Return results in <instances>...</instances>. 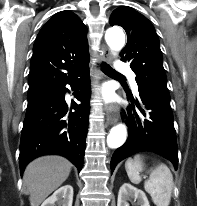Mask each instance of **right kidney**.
<instances>
[{"label": "right kidney", "mask_w": 197, "mask_h": 206, "mask_svg": "<svg viewBox=\"0 0 197 206\" xmlns=\"http://www.w3.org/2000/svg\"><path fill=\"white\" fill-rule=\"evenodd\" d=\"M73 187L64 185L46 199L41 206H72Z\"/></svg>", "instance_id": "right-kidney-1"}]
</instances>
